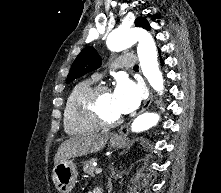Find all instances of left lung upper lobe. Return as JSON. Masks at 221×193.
Wrapping results in <instances>:
<instances>
[{"mask_svg": "<svg viewBox=\"0 0 221 193\" xmlns=\"http://www.w3.org/2000/svg\"><path fill=\"white\" fill-rule=\"evenodd\" d=\"M135 25L138 27H143L147 30H150L151 28L148 21L143 17H138L135 20ZM100 65L101 58L97 52L92 47H86L73 62L66 83H69L74 79L87 74L88 72L98 69Z\"/></svg>", "mask_w": 221, "mask_h": 193, "instance_id": "obj_1", "label": "left lung upper lobe"}]
</instances>
